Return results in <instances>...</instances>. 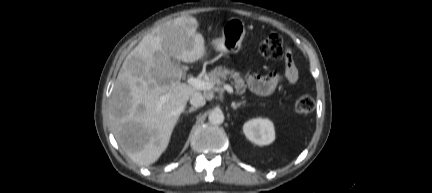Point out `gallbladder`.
Segmentation results:
<instances>
[{"label":"gallbladder","mask_w":432,"mask_h":193,"mask_svg":"<svg viewBox=\"0 0 432 193\" xmlns=\"http://www.w3.org/2000/svg\"><path fill=\"white\" fill-rule=\"evenodd\" d=\"M171 62L174 64V65H180V61H178L177 59H175V58H171Z\"/></svg>","instance_id":"1"}]
</instances>
